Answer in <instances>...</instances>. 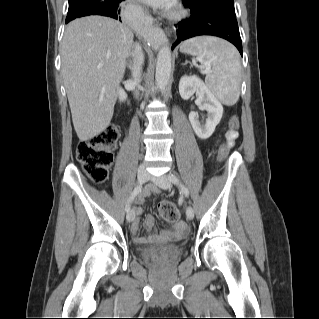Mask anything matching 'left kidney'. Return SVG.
I'll list each match as a JSON object with an SVG mask.
<instances>
[{
    "instance_id": "obj_1",
    "label": "left kidney",
    "mask_w": 319,
    "mask_h": 319,
    "mask_svg": "<svg viewBox=\"0 0 319 319\" xmlns=\"http://www.w3.org/2000/svg\"><path fill=\"white\" fill-rule=\"evenodd\" d=\"M179 93L185 100L189 99L194 93L198 95V99L202 102L201 109L206 110L208 113L206 122L199 121L198 113L194 111L190 112L189 120L199 138H209L222 118V104L211 93L204 82L195 75H184L180 79Z\"/></svg>"
}]
</instances>
